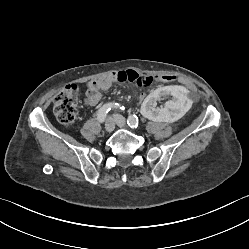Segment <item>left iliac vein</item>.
I'll use <instances>...</instances> for the list:
<instances>
[{
    "label": "left iliac vein",
    "instance_id": "left-iliac-vein-1",
    "mask_svg": "<svg viewBox=\"0 0 249 249\" xmlns=\"http://www.w3.org/2000/svg\"><path fill=\"white\" fill-rule=\"evenodd\" d=\"M115 121L119 127H125V118L119 114L115 115Z\"/></svg>",
    "mask_w": 249,
    "mask_h": 249
}]
</instances>
